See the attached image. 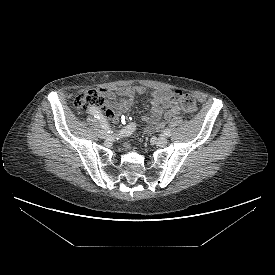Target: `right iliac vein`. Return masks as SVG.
I'll list each match as a JSON object with an SVG mask.
<instances>
[{"label": "right iliac vein", "instance_id": "right-iliac-vein-1", "mask_svg": "<svg viewBox=\"0 0 275 275\" xmlns=\"http://www.w3.org/2000/svg\"><path fill=\"white\" fill-rule=\"evenodd\" d=\"M99 137H100L101 139H105V138L110 137V135H109L106 131L100 130V131H99Z\"/></svg>", "mask_w": 275, "mask_h": 275}]
</instances>
